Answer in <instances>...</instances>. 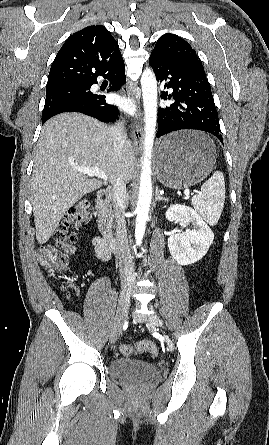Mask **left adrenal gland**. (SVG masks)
Wrapping results in <instances>:
<instances>
[{"label": "left adrenal gland", "instance_id": "1", "mask_svg": "<svg viewBox=\"0 0 269 445\" xmlns=\"http://www.w3.org/2000/svg\"><path fill=\"white\" fill-rule=\"evenodd\" d=\"M168 199L167 198H165V197H162V196H160V194H159V192H158V189L156 190V195H155V201L157 202V201H167Z\"/></svg>", "mask_w": 269, "mask_h": 445}]
</instances>
